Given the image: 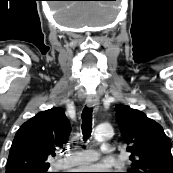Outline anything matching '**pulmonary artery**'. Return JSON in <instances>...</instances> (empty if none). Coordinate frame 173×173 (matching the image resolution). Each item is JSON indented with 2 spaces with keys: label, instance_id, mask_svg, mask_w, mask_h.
<instances>
[{
  "label": "pulmonary artery",
  "instance_id": "1",
  "mask_svg": "<svg viewBox=\"0 0 173 173\" xmlns=\"http://www.w3.org/2000/svg\"><path fill=\"white\" fill-rule=\"evenodd\" d=\"M113 149L108 144L100 147V152L92 149L79 150L74 152L70 157L59 161L60 168H70L74 166L87 165L98 160L101 155H113Z\"/></svg>",
  "mask_w": 173,
  "mask_h": 173
}]
</instances>
